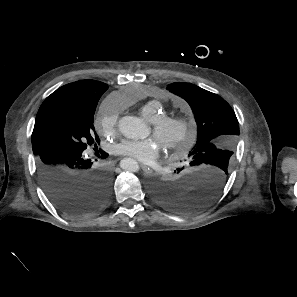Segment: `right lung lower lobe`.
I'll return each instance as SVG.
<instances>
[{
  "label": "right lung lower lobe",
  "instance_id": "right-lung-lower-lobe-1",
  "mask_svg": "<svg viewBox=\"0 0 297 297\" xmlns=\"http://www.w3.org/2000/svg\"><path fill=\"white\" fill-rule=\"evenodd\" d=\"M82 153L50 147L36 154L40 183L50 201L63 213L97 211L109 198L111 179L103 167H92Z\"/></svg>",
  "mask_w": 297,
  "mask_h": 297
}]
</instances>
